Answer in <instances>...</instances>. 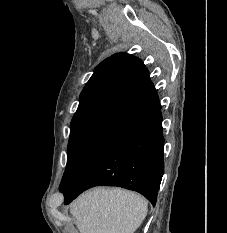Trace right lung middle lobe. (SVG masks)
I'll use <instances>...</instances> for the list:
<instances>
[{"label": "right lung middle lobe", "instance_id": "right-lung-middle-lobe-1", "mask_svg": "<svg viewBox=\"0 0 227 233\" xmlns=\"http://www.w3.org/2000/svg\"><path fill=\"white\" fill-rule=\"evenodd\" d=\"M117 136L101 131L70 133L68 160L60 190L71 188L98 154Z\"/></svg>", "mask_w": 227, "mask_h": 233}]
</instances>
